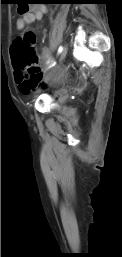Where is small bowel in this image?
<instances>
[{
  "label": "small bowel",
  "mask_w": 122,
  "mask_h": 257,
  "mask_svg": "<svg viewBox=\"0 0 122 257\" xmlns=\"http://www.w3.org/2000/svg\"><path fill=\"white\" fill-rule=\"evenodd\" d=\"M48 12L46 6L38 5L33 7L28 12L22 14V16L17 20L16 27L21 30L25 25L33 23L35 21H40L43 19L44 15ZM52 65V56L47 49L42 51V61L40 67V74L36 78H31L25 72L16 70L15 80L18 84L19 91L23 95H28L30 92L37 88L41 82L43 72L49 69ZM63 78H72V73H63Z\"/></svg>",
  "instance_id": "1"
}]
</instances>
